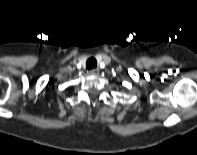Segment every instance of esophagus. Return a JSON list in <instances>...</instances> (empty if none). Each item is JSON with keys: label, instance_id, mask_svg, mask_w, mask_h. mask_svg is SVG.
I'll use <instances>...</instances> for the list:
<instances>
[{"label": "esophagus", "instance_id": "1", "mask_svg": "<svg viewBox=\"0 0 197 155\" xmlns=\"http://www.w3.org/2000/svg\"><path fill=\"white\" fill-rule=\"evenodd\" d=\"M91 75H98L99 74V70L98 69H92V70H90V72H89Z\"/></svg>", "mask_w": 197, "mask_h": 155}]
</instances>
